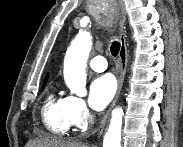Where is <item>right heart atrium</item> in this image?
<instances>
[{"instance_id": "d8ad5b80", "label": "right heart atrium", "mask_w": 183, "mask_h": 147, "mask_svg": "<svg viewBox=\"0 0 183 147\" xmlns=\"http://www.w3.org/2000/svg\"><path fill=\"white\" fill-rule=\"evenodd\" d=\"M69 117L72 125L84 129L91 121V113L83 99L69 97Z\"/></svg>"}]
</instances>
